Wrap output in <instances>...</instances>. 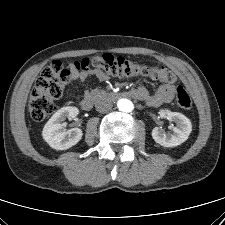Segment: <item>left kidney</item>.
<instances>
[{"label": "left kidney", "instance_id": "1", "mask_svg": "<svg viewBox=\"0 0 225 225\" xmlns=\"http://www.w3.org/2000/svg\"><path fill=\"white\" fill-rule=\"evenodd\" d=\"M161 116L166 117L169 121H174L177 126L172 127L173 133L171 134H167L161 127H155L152 130V137L156 143L164 147H175L188 139L192 131V125L185 115L163 110Z\"/></svg>", "mask_w": 225, "mask_h": 225}]
</instances>
